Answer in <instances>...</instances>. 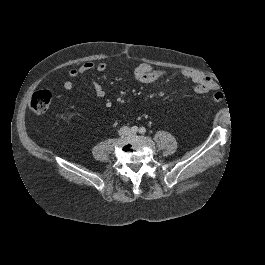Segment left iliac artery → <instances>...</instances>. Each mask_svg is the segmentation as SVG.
I'll list each match as a JSON object with an SVG mask.
<instances>
[{"label":"left iliac artery","mask_w":265,"mask_h":265,"mask_svg":"<svg viewBox=\"0 0 265 265\" xmlns=\"http://www.w3.org/2000/svg\"><path fill=\"white\" fill-rule=\"evenodd\" d=\"M146 132V129L144 128V127H141L140 129H139V133L140 134H144Z\"/></svg>","instance_id":"44dca946"}]
</instances>
